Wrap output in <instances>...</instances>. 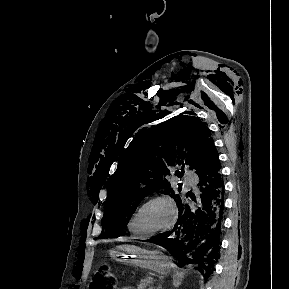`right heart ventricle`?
<instances>
[{
    "label": "right heart ventricle",
    "instance_id": "obj_1",
    "mask_svg": "<svg viewBox=\"0 0 289 289\" xmlns=\"http://www.w3.org/2000/svg\"><path fill=\"white\" fill-rule=\"evenodd\" d=\"M128 229H129V232L133 235V236H135V237H138L139 235L132 229V227H131V219H130V221H129V223H128Z\"/></svg>",
    "mask_w": 289,
    "mask_h": 289
}]
</instances>
